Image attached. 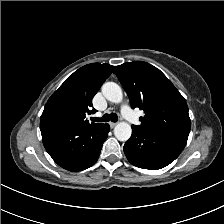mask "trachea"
Wrapping results in <instances>:
<instances>
[{"label":"trachea","instance_id":"trachea-1","mask_svg":"<svg viewBox=\"0 0 224 224\" xmlns=\"http://www.w3.org/2000/svg\"><path fill=\"white\" fill-rule=\"evenodd\" d=\"M91 120L94 121V122H108L110 120L112 122H117L118 121V116L115 113L104 114L101 118L93 117V118H91Z\"/></svg>","mask_w":224,"mask_h":224}]
</instances>
